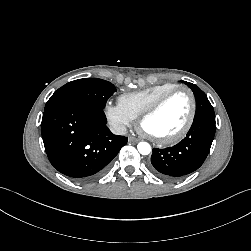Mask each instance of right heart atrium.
<instances>
[{
	"label": "right heart atrium",
	"mask_w": 251,
	"mask_h": 251,
	"mask_svg": "<svg viewBox=\"0 0 251 251\" xmlns=\"http://www.w3.org/2000/svg\"><path fill=\"white\" fill-rule=\"evenodd\" d=\"M104 113L108 122L117 131H124L133 121L119 104L107 103Z\"/></svg>",
	"instance_id": "obj_1"
}]
</instances>
